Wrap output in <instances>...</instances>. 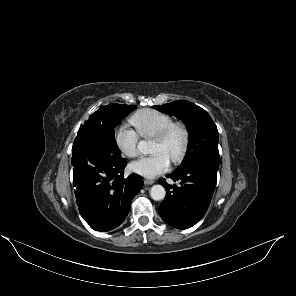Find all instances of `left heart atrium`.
<instances>
[{"mask_svg":"<svg viewBox=\"0 0 296 296\" xmlns=\"http://www.w3.org/2000/svg\"><path fill=\"white\" fill-rule=\"evenodd\" d=\"M171 159L164 152H156L131 163L130 168L135 173L153 178L166 172L170 167Z\"/></svg>","mask_w":296,"mask_h":296,"instance_id":"1","label":"left heart atrium"}]
</instances>
